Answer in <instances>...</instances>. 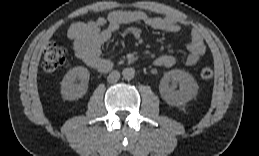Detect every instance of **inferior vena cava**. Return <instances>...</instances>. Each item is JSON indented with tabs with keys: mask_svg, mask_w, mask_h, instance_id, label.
<instances>
[{
	"mask_svg": "<svg viewBox=\"0 0 259 156\" xmlns=\"http://www.w3.org/2000/svg\"><path fill=\"white\" fill-rule=\"evenodd\" d=\"M120 73L118 71H112L107 77V81L110 83H115L119 80Z\"/></svg>",
	"mask_w": 259,
	"mask_h": 156,
	"instance_id": "inferior-vena-cava-1",
	"label": "inferior vena cava"
}]
</instances>
